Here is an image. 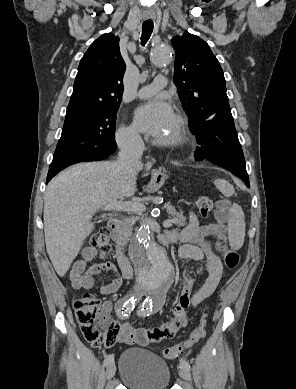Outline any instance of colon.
I'll use <instances>...</instances> for the list:
<instances>
[{
    "label": "colon",
    "instance_id": "5ec220e1",
    "mask_svg": "<svg viewBox=\"0 0 296 389\" xmlns=\"http://www.w3.org/2000/svg\"><path fill=\"white\" fill-rule=\"evenodd\" d=\"M200 215L206 218L213 208V201L208 196H201L197 201ZM90 245L105 256L111 250V240L107 229L101 228L90 238ZM216 247L224 254V262L228 269H235L240 261L237 252L226 247L223 238L216 241ZM76 320L84 338L95 346L111 347L119 335V325L110 320L108 310L92 293L85 292L73 302ZM206 316L203 315L198 326L189 338L180 344L165 348L162 352L166 359L178 358L185 350L200 341L205 335Z\"/></svg>",
    "mask_w": 296,
    "mask_h": 389
}]
</instances>
